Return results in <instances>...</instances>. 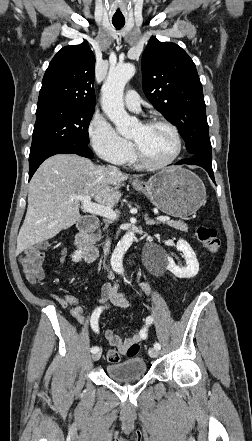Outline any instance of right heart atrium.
I'll return each mask as SVG.
<instances>
[{"label":"right heart atrium","mask_w":252,"mask_h":441,"mask_svg":"<svg viewBox=\"0 0 252 441\" xmlns=\"http://www.w3.org/2000/svg\"><path fill=\"white\" fill-rule=\"evenodd\" d=\"M87 135L94 152L102 159L123 165L133 153L132 144L123 138L110 121L96 112L87 127Z\"/></svg>","instance_id":"d8ad5b80"}]
</instances>
